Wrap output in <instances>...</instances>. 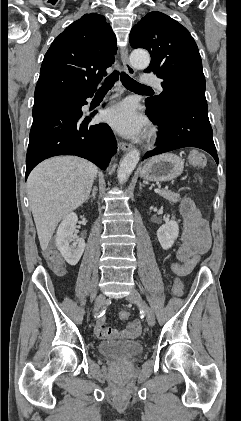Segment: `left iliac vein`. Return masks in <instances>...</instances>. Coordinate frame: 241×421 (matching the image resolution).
I'll return each mask as SVG.
<instances>
[{"label":"left iliac vein","mask_w":241,"mask_h":421,"mask_svg":"<svg viewBox=\"0 0 241 421\" xmlns=\"http://www.w3.org/2000/svg\"><path fill=\"white\" fill-rule=\"evenodd\" d=\"M127 300L131 303L140 305L146 315L147 323L150 326H154L155 324V316L152 309L143 301L141 295L136 289H132L129 295L127 296Z\"/></svg>","instance_id":"4c4485c4"}]
</instances>
